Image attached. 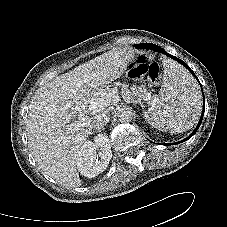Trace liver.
Returning a JSON list of instances; mask_svg holds the SVG:
<instances>
[{
    "label": "liver",
    "mask_w": 227,
    "mask_h": 227,
    "mask_svg": "<svg viewBox=\"0 0 227 227\" xmlns=\"http://www.w3.org/2000/svg\"><path fill=\"white\" fill-rule=\"evenodd\" d=\"M131 57V50L114 48L56 77L32 97L26 121L31 153L44 173L64 187L81 186L78 153L92 133L94 117L117 102L103 87L120 78ZM87 109L92 117L86 124L70 128L76 115Z\"/></svg>",
    "instance_id": "1"
}]
</instances>
